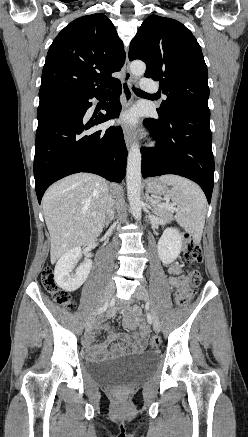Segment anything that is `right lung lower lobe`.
Listing matches in <instances>:
<instances>
[{"mask_svg":"<svg viewBox=\"0 0 248 437\" xmlns=\"http://www.w3.org/2000/svg\"><path fill=\"white\" fill-rule=\"evenodd\" d=\"M107 114L84 118L93 97L102 91L41 98L37 111L34 177L38 202L55 181L78 172L98 174L121 182L126 173L127 149L121 127L90 132V128L118 117L121 83L115 80Z\"/></svg>","mask_w":248,"mask_h":437,"instance_id":"obj_1","label":"right lung lower lobe"}]
</instances>
